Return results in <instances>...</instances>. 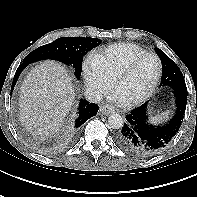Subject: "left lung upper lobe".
I'll use <instances>...</instances> for the list:
<instances>
[{
    "instance_id": "left-lung-upper-lobe-1",
    "label": "left lung upper lobe",
    "mask_w": 197,
    "mask_h": 197,
    "mask_svg": "<svg viewBox=\"0 0 197 197\" xmlns=\"http://www.w3.org/2000/svg\"><path fill=\"white\" fill-rule=\"evenodd\" d=\"M162 62L161 85L186 86L185 80L179 67L159 48H155Z\"/></svg>"
}]
</instances>
